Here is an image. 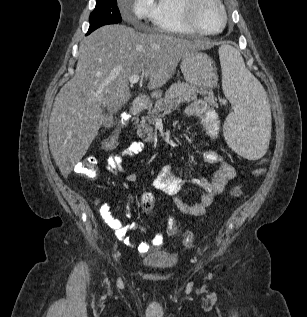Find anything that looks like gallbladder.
Masks as SVG:
<instances>
[{"instance_id":"1","label":"gallbladder","mask_w":307,"mask_h":317,"mask_svg":"<svg viewBox=\"0 0 307 317\" xmlns=\"http://www.w3.org/2000/svg\"><path fill=\"white\" fill-rule=\"evenodd\" d=\"M102 116H103V126L105 128H111L114 124V118L111 113L106 112L104 108H102Z\"/></svg>"}]
</instances>
